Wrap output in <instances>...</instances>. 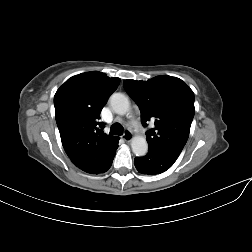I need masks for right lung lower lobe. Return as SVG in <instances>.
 <instances>
[{"instance_id":"98d812e1","label":"right lung lower lobe","mask_w":252,"mask_h":252,"mask_svg":"<svg viewBox=\"0 0 252 252\" xmlns=\"http://www.w3.org/2000/svg\"><path fill=\"white\" fill-rule=\"evenodd\" d=\"M118 148V142L115 143V145L113 146L112 148V151H111V159L110 161L108 162L107 166L104 168V170L100 173H103V172H106L108 171V169L111 167V164H112V161H113V158L115 156V152H116V149Z\"/></svg>"}]
</instances>
